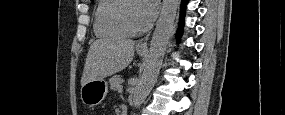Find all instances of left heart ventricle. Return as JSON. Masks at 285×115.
I'll return each mask as SVG.
<instances>
[{
  "label": "left heart ventricle",
  "instance_id": "b2bd125f",
  "mask_svg": "<svg viewBox=\"0 0 285 115\" xmlns=\"http://www.w3.org/2000/svg\"><path fill=\"white\" fill-rule=\"evenodd\" d=\"M126 16L133 27H143L139 18V4L137 2H132L129 4L126 10Z\"/></svg>",
  "mask_w": 285,
  "mask_h": 115
}]
</instances>
